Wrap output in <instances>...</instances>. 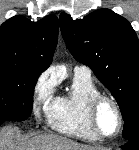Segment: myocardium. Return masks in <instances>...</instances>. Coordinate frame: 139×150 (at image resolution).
<instances>
[{"mask_svg":"<svg viewBox=\"0 0 139 150\" xmlns=\"http://www.w3.org/2000/svg\"><path fill=\"white\" fill-rule=\"evenodd\" d=\"M103 102H108L113 106V108L116 112L117 118H118V127H117L116 132L113 135H106V134L102 133L101 130L99 129V126L97 123L98 109ZM87 116H88V121H89V124H90L92 130L99 138H102V139L115 138L120 134V132L123 128V115H122L120 106L117 103V101L109 95L100 93V94L96 95L95 97H93L88 104Z\"/></svg>","mask_w":139,"mask_h":150,"instance_id":"f54148a6","label":"myocardium"}]
</instances>
